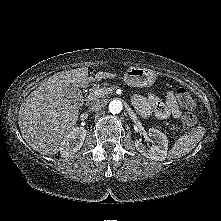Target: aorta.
Here are the masks:
<instances>
[{"label":"aorta","mask_w":221,"mask_h":221,"mask_svg":"<svg viewBox=\"0 0 221 221\" xmlns=\"http://www.w3.org/2000/svg\"><path fill=\"white\" fill-rule=\"evenodd\" d=\"M109 111L112 113V114H118L122 111L123 109V104L120 100H113L109 103Z\"/></svg>","instance_id":"762f6f07"}]
</instances>
